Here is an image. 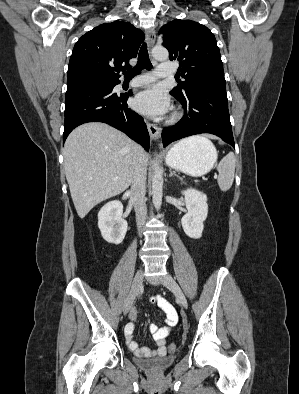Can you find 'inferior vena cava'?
<instances>
[{
    "label": "inferior vena cava",
    "mask_w": 299,
    "mask_h": 394,
    "mask_svg": "<svg viewBox=\"0 0 299 394\" xmlns=\"http://www.w3.org/2000/svg\"><path fill=\"white\" fill-rule=\"evenodd\" d=\"M146 177L147 162L143 155L142 147L138 146V152L134 163V172L131 185V200L134 203L137 227L140 229L146 221Z\"/></svg>",
    "instance_id": "obj_1"
}]
</instances>
